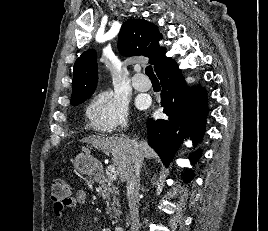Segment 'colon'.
Returning <instances> with one entry per match:
<instances>
[{
	"label": "colon",
	"instance_id": "1",
	"mask_svg": "<svg viewBox=\"0 0 268 231\" xmlns=\"http://www.w3.org/2000/svg\"><path fill=\"white\" fill-rule=\"evenodd\" d=\"M50 194L52 200L58 207L67 209V206L71 200L70 188L67 182L61 178H56L52 181L50 187Z\"/></svg>",
	"mask_w": 268,
	"mask_h": 231
}]
</instances>
